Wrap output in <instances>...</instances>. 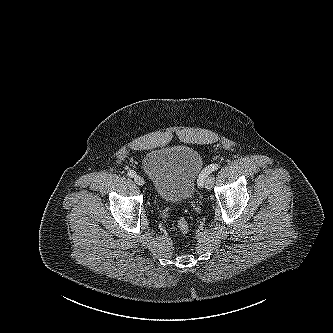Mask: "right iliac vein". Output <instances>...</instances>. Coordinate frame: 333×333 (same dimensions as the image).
I'll use <instances>...</instances> for the list:
<instances>
[{"instance_id":"right-iliac-vein-1","label":"right iliac vein","mask_w":333,"mask_h":333,"mask_svg":"<svg viewBox=\"0 0 333 333\" xmlns=\"http://www.w3.org/2000/svg\"><path fill=\"white\" fill-rule=\"evenodd\" d=\"M134 181H135V183L137 184V185H139V186H143L144 185V179L141 177V176H139V175H135V177H134Z\"/></svg>"}]
</instances>
